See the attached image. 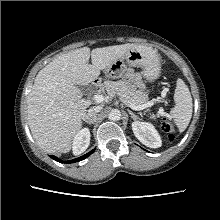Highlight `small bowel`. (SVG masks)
Masks as SVG:
<instances>
[{
	"mask_svg": "<svg viewBox=\"0 0 220 220\" xmlns=\"http://www.w3.org/2000/svg\"><path fill=\"white\" fill-rule=\"evenodd\" d=\"M137 80H138L139 83H141L139 78Z\"/></svg>",
	"mask_w": 220,
	"mask_h": 220,
	"instance_id": "small-bowel-1",
	"label": "small bowel"
}]
</instances>
